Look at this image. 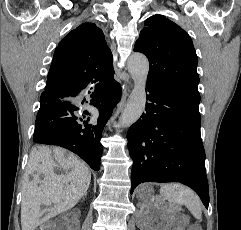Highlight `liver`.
Here are the masks:
<instances>
[{
  "label": "liver",
  "instance_id": "6515ba94",
  "mask_svg": "<svg viewBox=\"0 0 241 230\" xmlns=\"http://www.w3.org/2000/svg\"><path fill=\"white\" fill-rule=\"evenodd\" d=\"M56 167L65 174H56ZM29 175L33 177L31 180ZM26 177L21 202L22 230H35L50 217L73 208L86 195L91 181L89 168L76 156H65L63 149L46 146L31 151ZM43 204L54 207L45 212L41 210Z\"/></svg>",
  "mask_w": 241,
  "mask_h": 230
}]
</instances>
